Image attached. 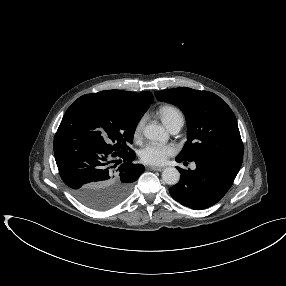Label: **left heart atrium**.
<instances>
[{
  "instance_id": "left-heart-atrium-1",
  "label": "left heart atrium",
  "mask_w": 286,
  "mask_h": 286,
  "mask_svg": "<svg viewBox=\"0 0 286 286\" xmlns=\"http://www.w3.org/2000/svg\"><path fill=\"white\" fill-rule=\"evenodd\" d=\"M176 152L172 144L149 142L140 151V159L149 165H162Z\"/></svg>"
}]
</instances>
